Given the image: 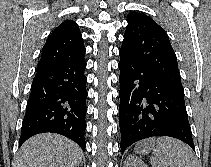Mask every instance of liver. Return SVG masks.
<instances>
[{"label": "liver", "instance_id": "liver-1", "mask_svg": "<svg viewBox=\"0 0 211 167\" xmlns=\"http://www.w3.org/2000/svg\"><path fill=\"white\" fill-rule=\"evenodd\" d=\"M82 155V149L68 138L39 134L21 146L15 167H77Z\"/></svg>", "mask_w": 211, "mask_h": 167}]
</instances>
